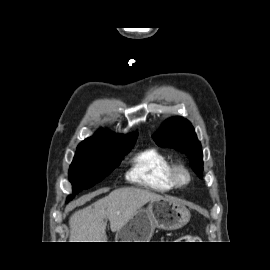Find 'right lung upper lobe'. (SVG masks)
Here are the masks:
<instances>
[{"label":"right lung upper lobe","mask_w":270,"mask_h":270,"mask_svg":"<svg viewBox=\"0 0 270 270\" xmlns=\"http://www.w3.org/2000/svg\"><path fill=\"white\" fill-rule=\"evenodd\" d=\"M137 133H132L128 136L115 135L104 129L96 132L92 137L85 139L78 145V148L87 147H102L116 144H124L136 141Z\"/></svg>","instance_id":"cb5924a9"}]
</instances>
